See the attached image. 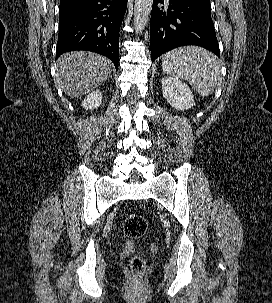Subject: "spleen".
I'll return each instance as SVG.
<instances>
[{
    "label": "spleen",
    "instance_id": "spleen-1",
    "mask_svg": "<svg viewBox=\"0 0 272 303\" xmlns=\"http://www.w3.org/2000/svg\"><path fill=\"white\" fill-rule=\"evenodd\" d=\"M164 73L187 81L203 97L212 94L221 80L219 59L196 46L179 47L162 58Z\"/></svg>",
    "mask_w": 272,
    "mask_h": 303
}]
</instances>
